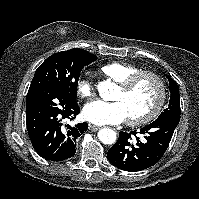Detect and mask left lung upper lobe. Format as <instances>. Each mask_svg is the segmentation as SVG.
Returning <instances> with one entry per match:
<instances>
[{"label":"left lung upper lobe","mask_w":199,"mask_h":199,"mask_svg":"<svg viewBox=\"0 0 199 199\" xmlns=\"http://www.w3.org/2000/svg\"><path fill=\"white\" fill-rule=\"evenodd\" d=\"M171 98L167 109L159 115L157 119H169L176 122L180 121V94L177 83L169 78Z\"/></svg>","instance_id":"1"}]
</instances>
